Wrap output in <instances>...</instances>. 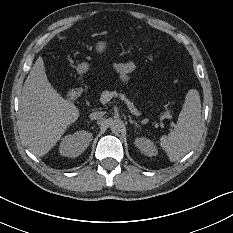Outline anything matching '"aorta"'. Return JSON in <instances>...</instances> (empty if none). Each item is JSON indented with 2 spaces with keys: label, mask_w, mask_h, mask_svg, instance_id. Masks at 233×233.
<instances>
[{
  "label": "aorta",
  "mask_w": 233,
  "mask_h": 233,
  "mask_svg": "<svg viewBox=\"0 0 233 233\" xmlns=\"http://www.w3.org/2000/svg\"><path fill=\"white\" fill-rule=\"evenodd\" d=\"M120 127H121V124L119 122H117L116 120H113L111 122V130L113 132H119L120 130Z\"/></svg>",
  "instance_id": "aorta-1"
}]
</instances>
